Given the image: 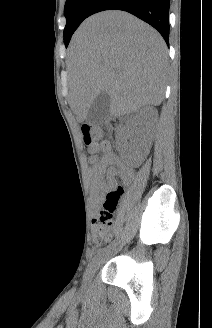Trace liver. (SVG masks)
Segmentation results:
<instances>
[{
	"label": "liver",
	"instance_id": "1",
	"mask_svg": "<svg viewBox=\"0 0 212 328\" xmlns=\"http://www.w3.org/2000/svg\"><path fill=\"white\" fill-rule=\"evenodd\" d=\"M67 68L68 101L79 122L103 92L111 98L110 115L120 117L161 104L167 47L155 29L136 17L104 11L87 18L72 37Z\"/></svg>",
	"mask_w": 212,
	"mask_h": 328
}]
</instances>
